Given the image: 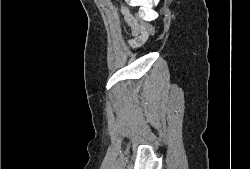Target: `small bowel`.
Returning <instances> with one entry per match:
<instances>
[{
    "instance_id": "1",
    "label": "small bowel",
    "mask_w": 250,
    "mask_h": 169,
    "mask_svg": "<svg viewBox=\"0 0 250 169\" xmlns=\"http://www.w3.org/2000/svg\"><path fill=\"white\" fill-rule=\"evenodd\" d=\"M126 20L128 24L131 26L132 31L135 35H138L139 33H141V26L138 24L137 21H135L130 15H126ZM139 37L137 41L132 42L133 45H137L138 43H140Z\"/></svg>"
}]
</instances>
